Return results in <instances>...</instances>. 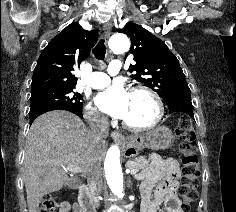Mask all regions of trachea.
Segmentation results:
<instances>
[{
	"label": "trachea",
	"mask_w": 236,
	"mask_h": 212,
	"mask_svg": "<svg viewBox=\"0 0 236 212\" xmlns=\"http://www.w3.org/2000/svg\"><path fill=\"white\" fill-rule=\"evenodd\" d=\"M93 54L98 60H103L106 54L105 41L101 39L93 49Z\"/></svg>",
	"instance_id": "trachea-1"
}]
</instances>
